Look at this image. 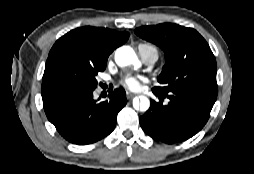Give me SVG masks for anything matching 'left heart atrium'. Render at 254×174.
<instances>
[{"label": "left heart atrium", "instance_id": "obj_1", "mask_svg": "<svg viewBox=\"0 0 254 174\" xmlns=\"http://www.w3.org/2000/svg\"><path fill=\"white\" fill-rule=\"evenodd\" d=\"M144 78L141 76L126 75L120 81L121 85L130 91H138L142 87Z\"/></svg>", "mask_w": 254, "mask_h": 174}]
</instances>
